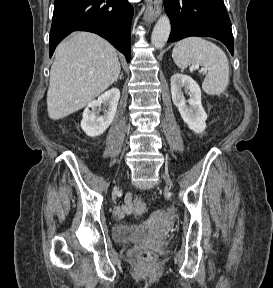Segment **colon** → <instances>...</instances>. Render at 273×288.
I'll return each instance as SVG.
<instances>
[{"label":"colon","mask_w":273,"mask_h":288,"mask_svg":"<svg viewBox=\"0 0 273 288\" xmlns=\"http://www.w3.org/2000/svg\"><path fill=\"white\" fill-rule=\"evenodd\" d=\"M132 212L137 216H143L146 212V203L139 198H135L131 203ZM138 257L145 263L152 264L155 261V255L146 250H140Z\"/></svg>","instance_id":"obj_1"}]
</instances>
